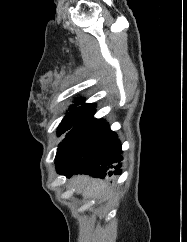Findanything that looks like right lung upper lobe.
<instances>
[{
    "instance_id": "obj_1",
    "label": "right lung upper lobe",
    "mask_w": 187,
    "mask_h": 242,
    "mask_svg": "<svg viewBox=\"0 0 187 242\" xmlns=\"http://www.w3.org/2000/svg\"><path fill=\"white\" fill-rule=\"evenodd\" d=\"M76 104H80L82 106H89L91 107L92 104H85L84 100L83 99H80V100H77L76 101ZM74 106H77V105H74ZM95 106V105H94Z\"/></svg>"
}]
</instances>
